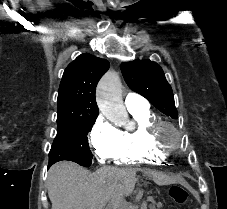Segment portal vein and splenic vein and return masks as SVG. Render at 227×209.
Here are the masks:
<instances>
[{
  "instance_id": "obj_1",
  "label": "portal vein and splenic vein",
  "mask_w": 227,
  "mask_h": 209,
  "mask_svg": "<svg viewBox=\"0 0 227 209\" xmlns=\"http://www.w3.org/2000/svg\"><path fill=\"white\" fill-rule=\"evenodd\" d=\"M148 199L151 201L153 198L150 196Z\"/></svg>"
}]
</instances>
